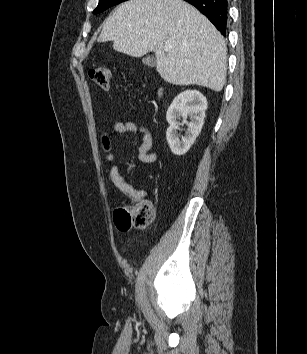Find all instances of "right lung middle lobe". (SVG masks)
Listing matches in <instances>:
<instances>
[{"label": "right lung middle lobe", "mask_w": 307, "mask_h": 354, "mask_svg": "<svg viewBox=\"0 0 307 354\" xmlns=\"http://www.w3.org/2000/svg\"><path fill=\"white\" fill-rule=\"evenodd\" d=\"M127 0H99V4L97 6V8L93 11V13H100L114 5H117L121 2H124Z\"/></svg>", "instance_id": "right-lung-middle-lobe-1"}]
</instances>
